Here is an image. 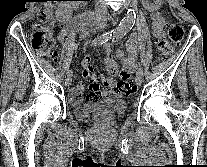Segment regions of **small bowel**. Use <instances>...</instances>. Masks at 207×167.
Masks as SVG:
<instances>
[{"mask_svg":"<svg viewBox=\"0 0 207 167\" xmlns=\"http://www.w3.org/2000/svg\"><path fill=\"white\" fill-rule=\"evenodd\" d=\"M155 2L158 0H154ZM151 32L152 35L160 40L164 37V19L157 11L151 13ZM68 35V29L64 28L58 36L59 41H63ZM139 37L136 33L132 34L127 41L128 55L123 56L122 52H118V56L123 59L122 71L128 76L137 69L136 51ZM104 48V64L109 73L108 77L97 76L91 65L92 58L88 55L82 58L83 76L89 79V92L85 97L86 102L96 101L100 98L113 97L115 92V75L118 71V65L113 58L108 44ZM99 82L102 83V87ZM70 104L73 106L80 105L84 100V85L80 82L70 89Z\"/></svg>","mask_w":207,"mask_h":167,"instance_id":"c3829d8e","label":"small bowel"}]
</instances>
